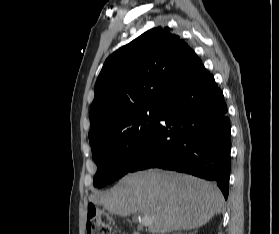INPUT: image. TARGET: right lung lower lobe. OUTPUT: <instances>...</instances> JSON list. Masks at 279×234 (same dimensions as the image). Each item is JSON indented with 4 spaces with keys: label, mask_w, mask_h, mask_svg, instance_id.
<instances>
[{
    "label": "right lung lower lobe",
    "mask_w": 279,
    "mask_h": 234,
    "mask_svg": "<svg viewBox=\"0 0 279 234\" xmlns=\"http://www.w3.org/2000/svg\"><path fill=\"white\" fill-rule=\"evenodd\" d=\"M159 167L217 183L227 199L230 122L223 93L203 64L161 107L147 147L130 172Z\"/></svg>",
    "instance_id": "98d812e1"
}]
</instances>
